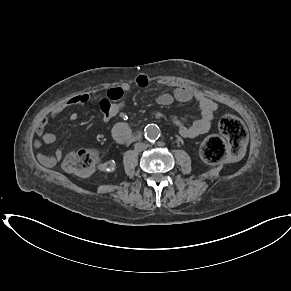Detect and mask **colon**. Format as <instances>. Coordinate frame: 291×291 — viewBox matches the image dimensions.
Listing matches in <instances>:
<instances>
[{"mask_svg":"<svg viewBox=\"0 0 291 291\" xmlns=\"http://www.w3.org/2000/svg\"><path fill=\"white\" fill-rule=\"evenodd\" d=\"M218 126L226 140L212 135L204 140L201 147L202 158L211 164L223 162L228 152L238 156L247 138L244 124L233 114L222 115ZM97 161V150L84 148L68 153L62 160V167L68 173L85 177L93 172Z\"/></svg>","mask_w":291,"mask_h":291,"instance_id":"1","label":"colon"}]
</instances>
